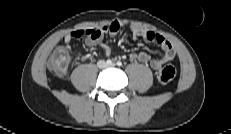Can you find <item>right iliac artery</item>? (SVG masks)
Instances as JSON below:
<instances>
[{"mask_svg":"<svg viewBox=\"0 0 231 134\" xmlns=\"http://www.w3.org/2000/svg\"><path fill=\"white\" fill-rule=\"evenodd\" d=\"M106 63L109 65V64L112 63V61H111L110 59H108V60L106 61Z\"/></svg>","mask_w":231,"mask_h":134,"instance_id":"82829eb1","label":"right iliac artery"}]
</instances>
